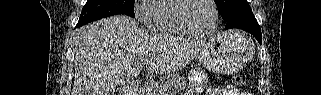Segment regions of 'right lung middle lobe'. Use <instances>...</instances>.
Instances as JSON below:
<instances>
[{
    "label": "right lung middle lobe",
    "mask_w": 321,
    "mask_h": 95,
    "mask_svg": "<svg viewBox=\"0 0 321 95\" xmlns=\"http://www.w3.org/2000/svg\"><path fill=\"white\" fill-rule=\"evenodd\" d=\"M117 14H125L134 18V0H87L77 27Z\"/></svg>",
    "instance_id": "obj_1"
}]
</instances>
